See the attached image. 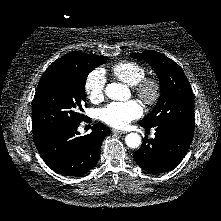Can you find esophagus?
I'll return each mask as SVG.
<instances>
[{
	"label": "esophagus",
	"mask_w": 221,
	"mask_h": 221,
	"mask_svg": "<svg viewBox=\"0 0 221 221\" xmlns=\"http://www.w3.org/2000/svg\"><path fill=\"white\" fill-rule=\"evenodd\" d=\"M112 133H114V134H125V131L118 130V129H112Z\"/></svg>",
	"instance_id": "1"
}]
</instances>
